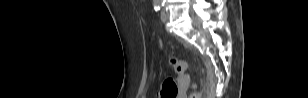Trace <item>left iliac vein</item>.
I'll use <instances>...</instances> for the list:
<instances>
[{"label": "left iliac vein", "instance_id": "obj_1", "mask_svg": "<svg viewBox=\"0 0 308 98\" xmlns=\"http://www.w3.org/2000/svg\"><path fill=\"white\" fill-rule=\"evenodd\" d=\"M161 21L163 22V23H165L167 20H168V15H167V13H166V11H162L161 12Z\"/></svg>", "mask_w": 308, "mask_h": 98}]
</instances>
